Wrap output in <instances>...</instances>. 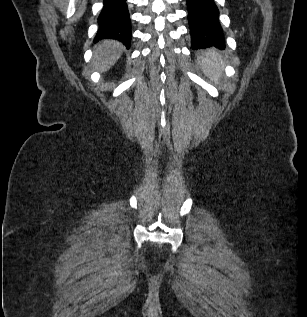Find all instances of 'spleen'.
<instances>
[{
    "instance_id": "3e777b00",
    "label": "spleen",
    "mask_w": 307,
    "mask_h": 317,
    "mask_svg": "<svg viewBox=\"0 0 307 317\" xmlns=\"http://www.w3.org/2000/svg\"><path fill=\"white\" fill-rule=\"evenodd\" d=\"M202 68L206 76L217 81L222 74L223 59L219 52L209 50L201 56Z\"/></svg>"
}]
</instances>
